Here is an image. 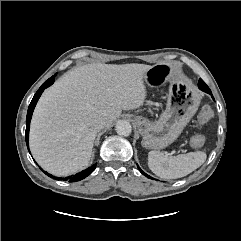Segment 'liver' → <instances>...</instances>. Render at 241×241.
Returning a JSON list of instances; mask_svg holds the SVG:
<instances>
[{
  "label": "liver",
  "mask_w": 241,
  "mask_h": 241,
  "mask_svg": "<svg viewBox=\"0 0 241 241\" xmlns=\"http://www.w3.org/2000/svg\"><path fill=\"white\" fill-rule=\"evenodd\" d=\"M145 64H88L65 73L45 90L30 127V150L37 163L55 176H67L90 162L97 130L110 126L122 110L139 108L147 96Z\"/></svg>",
  "instance_id": "6515ba94"
}]
</instances>
